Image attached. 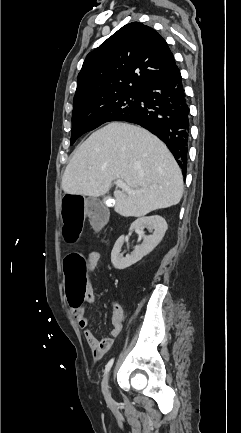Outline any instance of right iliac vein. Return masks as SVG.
Listing matches in <instances>:
<instances>
[{"label":"right iliac vein","mask_w":241,"mask_h":433,"mask_svg":"<svg viewBox=\"0 0 241 433\" xmlns=\"http://www.w3.org/2000/svg\"><path fill=\"white\" fill-rule=\"evenodd\" d=\"M102 390H103V394L105 396V399L108 402H111L113 399H112V396H111V393H110V390H109V374L103 380Z\"/></svg>","instance_id":"right-iliac-vein-1"}]
</instances>
